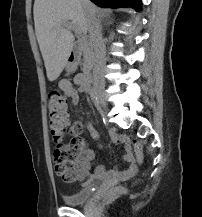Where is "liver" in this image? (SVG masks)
<instances>
[{"label":"liver","mask_w":202,"mask_h":217,"mask_svg":"<svg viewBox=\"0 0 202 217\" xmlns=\"http://www.w3.org/2000/svg\"><path fill=\"white\" fill-rule=\"evenodd\" d=\"M35 34L49 81L56 80L73 50L74 36L63 23L71 21L86 34L90 15H100L89 0H35Z\"/></svg>","instance_id":"obj_1"}]
</instances>
